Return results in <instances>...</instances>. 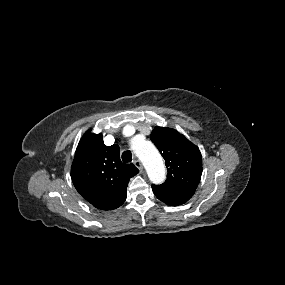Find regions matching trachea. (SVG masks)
<instances>
[{
    "label": "trachea",
    "instance_id": "obj_1",
    "mask_svg": "<svg viewBox=\"0 0 285 285\" xmlns=\"http://www.w3.org/2000/svg\"><path fill=\"white\" fill-rule=\"evenodd\" d=\"M122 161L123 162H131L132 161V154L129 150L124 151L122 153Z\"/></svg>",
    "mask_w": 285,
    "mask_h": 285
}]
</instances>
